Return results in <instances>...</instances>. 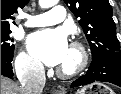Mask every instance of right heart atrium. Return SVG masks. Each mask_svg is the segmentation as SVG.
Wrapping results in <instances>:
<instances>
[{"mask_svg": "<svg viewBox=\"0 0 121 94\" xmlns=\"http://www.w3.org/2000/svg\"><path fill=\"white\" fill-rule=\"evenodd\" d=\"M15 69L21 78H36L42 75L41 64L27 52H20L15 61Z\"/></svg>", "mask_w": 121, "mask_h": 94, "instance_id": "1", "label": "right heart atrium"}]
</instances>
